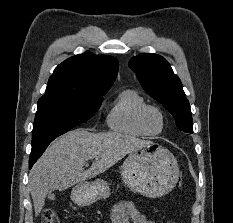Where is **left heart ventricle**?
Returning <instances> with one entry per match:
<instances>
[{
    "instance_id": "b2bd125f",
    "label": "left heart ventricle",
    "mask_w": 233,
    "mask_h": 223,
    "mask_svg": "<svg viewBox=\"0 0 233 223\" xmlns=\"http://www.w3.org/2000/svg\"><path fill=\"white\" fill-rule=\"evenodd\" d=\"M146 123L152 133H159L163 130L164 120L157 110H150L146 116Z\"/></svg>"
}]
</instances>
